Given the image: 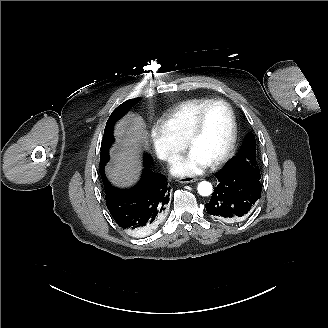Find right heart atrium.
<instances>
[{
    "label": "right heart atrium",
    "mask_w": 328,
    "mask_h": 328,
    "mask_svg": "<svg viewBox=\"0 0 328 328\" xmlns=\"http://www.w3.org/2000/svg\"><path fill=\"white\" fill-rule=\"evenodd\" d=\"M148 136L157 157L166 163L175 160L184 149V145L173 139L158 121L150 125Z\"/></svg>",
    "instance_id": "obj_1"
}]
</instances>
